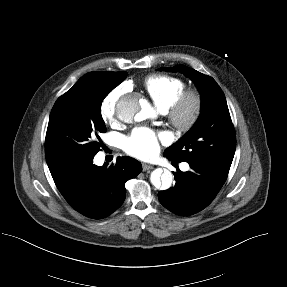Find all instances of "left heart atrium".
I'll return each mask as SVG.
<instances>
[{
  "label": "left heart atrium",
  "instance_id": "1",
  "mask_svg": "<svg viewBox=\"0 0 287 287\" xmlns=\"http://www.w3.org/2000/svg\"><path fill=\"white\" fill-rule=\"evenodd\" d=\"M164 133H157L146 127L135 128L123 140L124 150L137 158L150 159L159 151V142L166 140Z\"/></svg>",
  "mask_w": 287,
  "mask_h": 287
}]
</instances>
